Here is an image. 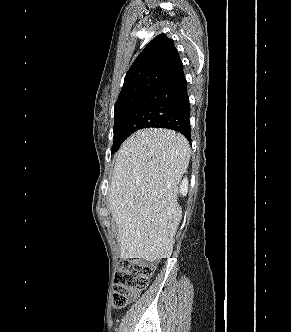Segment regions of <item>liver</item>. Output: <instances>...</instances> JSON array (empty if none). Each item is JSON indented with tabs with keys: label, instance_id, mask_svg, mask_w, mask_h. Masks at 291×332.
Instances as JSON below:
<instances>
[{
	"label": "liver",
	"instance_id": "liver-1",
	"mask_svg": "<svg viewBox=\"0 0 291 332\" xmlns=\"http://www.w3.org/2000/svg\"><path fill=\"white\" fill-rule=\"evenodd\" d=\"M190 155L187 139L168 129L139 130L121 145L109 193L120 258L152 262L171 256L182 218L178 184Z\"/></svg>",
	"mask_w": 291,
	"mask_h": 332
}]
</instances>
